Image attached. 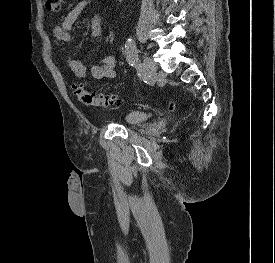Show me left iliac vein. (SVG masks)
Masks as SVG:
<instances>
[{
    "mask_svg": "<svg viewBox=\"0 0 275 263\" xmlns=\"http://www.w3.org/2000/svg\"><path fill=\"white\" fill-rule=\"evenodd\" d=\"M157 64L152 57L146 56L141 65V71L149 79H153L157 73Z\"/></svg>",
    "mask_w": 275,
    "mask_h": 263,
    "instance_id": "4c4485c4",
    "label": "left iliac vein"
}]
</instances>
